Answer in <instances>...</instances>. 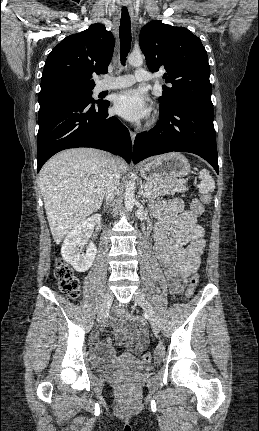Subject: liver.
<instances>
[{
    "label": "liver",
    "instance_id": "6515ba94",
    "mask_svg": "<svg viewBox=\"0 0 259 431\" xmlns=\"http://www.w3.org/2000/svg\"><path fill=\"white\" fill-rule=\"evenodd\" d=\"M109 158L97 149L75 148L56 154L42 167L39 184L56 244L102 205ZM116 166L120 174L126 170L122 159Z\"/></svg>",
    "mask_w": 259,
    "mask_h": 431
}]
</instances>
